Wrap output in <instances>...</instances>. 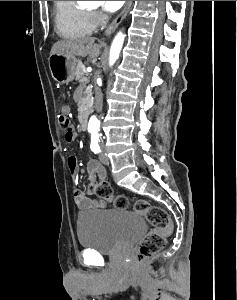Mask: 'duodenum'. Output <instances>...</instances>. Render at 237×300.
<instances>
[{
	"label": "duodenum",
	"mask_w": 237,
	"mask_h": 300,
	"mask_svg": "<svg viewBox=\"0 0 237 300\" xmlns=\"http://www.w3.org/2000/svg\"><path fill=\"white\" fill-rule=\"evenodd\" d=\"M79 125L82 131H85L87 129L88 120H87V116L83 112L80 114L79 117Z\"/></svg>",
	"instance_id": "duodenum-1"
}]
</instances>
